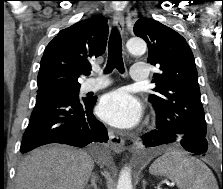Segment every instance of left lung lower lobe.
<instances>
[{
	"label": "left lung lower lobe",
	"instance_id": "obj_1",
	"mask_svg": "<svg viewBox=\"0 0 223 189\" xmlns=\"http://www.w3.org/2000/svg\"><path fill=\"white\" fill-rule=\"evenodd\" d=\"M157 129L143 136V143L146 147H155L172 142H180V144L189 152L197 155L207 152L208 144L205 137H201L191 133L179 134L162 130L157 121Z\"/></svg>",
	"mask_w": 223,
	"mask_h": 189
}]
</instances>
